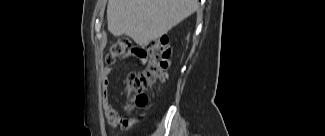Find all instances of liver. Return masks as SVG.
Returning a JSON list of instances; mask_svg holds the SVG:
<instances>
[{
    "label": "liver",
    "instance_id": "obj_1",
    "mask_svg": "<svg viewBox=\"0 0 325 136\" xmlns=\"http://www.w3.org/2000/svg\"><path fill=\"white\" fill-rule=\"evenodd\" d=\"M198 6V0H109L108 31L116 37L127 35L145 47L189 17Z\"/></svg>",
    "mask_w": 325,
    "mask_h": 136
}]
</instances>
